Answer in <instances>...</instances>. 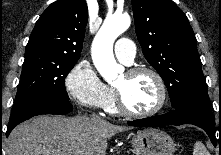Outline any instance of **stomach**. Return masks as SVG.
<instances>
[{"mask_svg":"<svg viewBox=\"0 0 221 155\" xmlns=\"http://www.w3.org/2000/svg\"><path fill=\"white\" fill-rule=\"evenodd\" d=\"M136 155H174L176 145L165 132L147 128L137 131L131 139Z\"/></svg>","mask_w":221,"mask_h":155,"instance_id":"0dacf381","label":"stomach"}]
</instances>
